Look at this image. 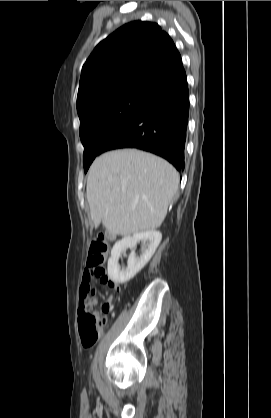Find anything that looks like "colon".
I'll return each mask as SVG.
<instances>
[{"label":"colon","mask_w":271,"mask_h":418,"mask_svg":"<svg viewBox=\"0 0 271 418\" xmlns=\"http://www.w3.org/2000/svg\"><path fill=\"white\" fill-rule=\"evenodd\" d=\"M108 243L104 235H96L90 244L87 260V276L91 283L94 279H99L102 283L108 281L105 269L102 266L107 255ZM91 288H87L83 295L85 302L91 298ZM113 308L111 300L102 306V313L92 312L90 309L83 308L79 312V326L82 345L86 348L92 347L98 340L101 329L106 324V316Z\"/></svg>","instance_id":"obj_1"}]
</instances>
